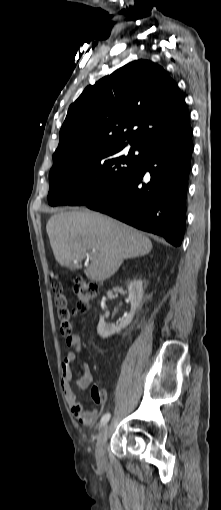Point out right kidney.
<instances>
[{"instance_id": "right-kidney-1", "label": "right kidney", "mask_w": 221, "mask_h": 510, "mask_svg": "<svg viewBox=\"0 0 221 510\" xmlns=\"http://www.w3.org/2000/svg\"><path fill=\"white\" fill-rule=\"evenodd\" d=\"M129 300L131 303V311L126 315L118 325L112 323H106L103 317H100L97 333L102 338H108L111 335L120 332L126 328L131 322L135 315L136 310L139 308L144 293L143 282L141 280L131 281L128 285Z\"/></svg>"}]
</instances>
